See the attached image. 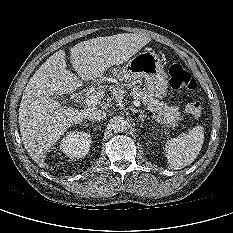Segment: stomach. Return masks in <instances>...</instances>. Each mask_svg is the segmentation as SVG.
I'll return each mask as SVG.
<instances>
[{
  "mask_svg": "<svg viewBox=\"0 0 233 233\" xmlns=\"http://www.w3.org/2000/svg\"><path fill=\"white\" fill-rule=\"evenodd\" d=\"M111 73L120 81H134L143 78L149 93L155 98L162 99L167 94L168 76L155 52L138 53L125 66L112 68Z\"/></svg>",
  "mask_w": 233,
  "mask_h": 233,
  "instance_id": "1",
  "label": "stomach"
}]
</instances>
